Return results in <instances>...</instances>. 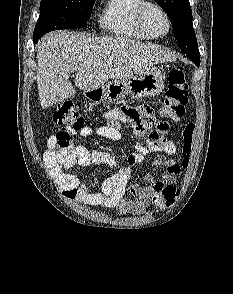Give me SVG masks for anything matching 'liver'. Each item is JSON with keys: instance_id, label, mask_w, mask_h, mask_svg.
Instances as JSON below:
<instances>
[{"instance_id": "liver-1", "label": "liver", "mask_w": 233, "mask_h": 294, "mask_svg": "<svg viewBox=\"0 0 233 294\" xmlns=\"http://www.w3.org/2000/svg\"><path fill=\"white\" fill-rule=\"evenodd\" d=\"M171 53L120 36L87 37L69 31L45 35L37 50V87L46 109L75 95L68 81L76 72L75 86L93 91L109 79H125L157 63L173 60Z\"/></svg>"}]
</instances>
